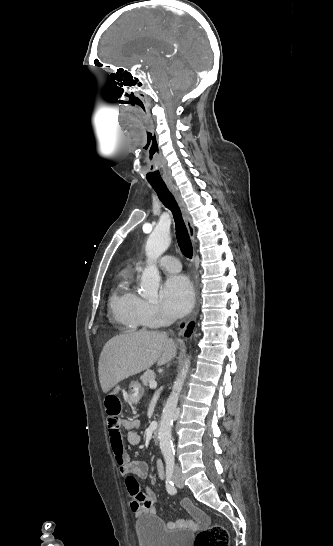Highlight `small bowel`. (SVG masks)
<instances>
[{
  "instance_id": "c3829d8e",
  "label": "small bowel",
  "mask_w": 333,
  "mask_h": 546,
  "mask_svg": "<svg viewBox=\"0 0 333 546\" xmlns=\"http://www.w3.org/2000/svg\"><path fill=\"white\" fill-rule=\"evenodd\" d=\"M111 392H121V387H111ZM107 426L109 431L110 445L115 458V461L119 467L120 473L126 477V487L129 495L130 509L139 515L143 512L155 513L156 495L148 488L146 493L141 492L138 478H144L148 474V465L144 461H131L129 455L126 453L123 447V441L121 436V428L127 430V439L131 445H138L141 442V436L138 433L140 422L135 419L124 418H108ZM158 473L162 475V465L157 464ZM183 506L192 515L198 525H203L206 522V515L194 506L189 500L183 501ZM171 526H182L184 521L178 520L176 522H170Z\"/></svg>"
}]
</instances>
